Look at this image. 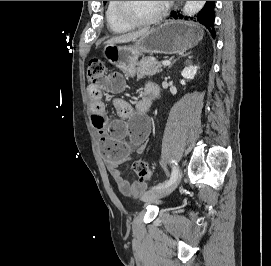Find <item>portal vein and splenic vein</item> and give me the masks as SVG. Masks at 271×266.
<instances>
[{
  "instance_id": "18ae733b",
  "label": "portal vein and splenic vein",
  "mask_w": 271,
  "mask_h": 266,
  "mask_svg": "<svg viewBox=\"0 0 271 266\" xmlns=\"http://www.w3.org/2000/svg\"><path fill=\"white\" fill-rule=\"evenodd\" d=\"M161 64H162L163 66H168V65L171 64V61H169V60H164V61L161 62Z\"/></svg>"
}]
</instances>
